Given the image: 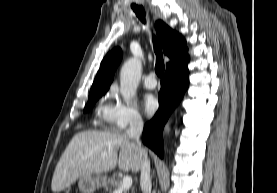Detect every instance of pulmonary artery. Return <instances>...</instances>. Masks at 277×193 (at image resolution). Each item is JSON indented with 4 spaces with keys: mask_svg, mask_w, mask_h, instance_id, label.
I'll list each match as a JSON object with an SVG mask.
<instances>
[{
    "mask_svg": "<svg viewBox=\"0 0 277 193\" xmlns=\"http://www.w3.org/2000/svg\"><path fill=\"white\" fill-rule=\"evenodd\" d=\"M157 85L156 79L154 74H149L148 76L145 77L144 79V86L147 89H154Z\"/></svg>",
    "mask_w": 277,
    "mask_h": 193,
    "instance_id": "obj_1",
    "label": "pulmonary artery"
}]
</instances>
